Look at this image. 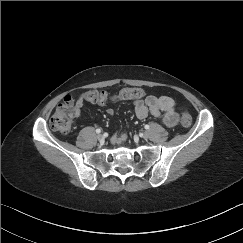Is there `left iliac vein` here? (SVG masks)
I'll return each instance as SVG.
<instances>
[{"mask_svg": "<svg viewBox=\"0 0 243 243\" xmlns=\"http://www.w3.org/2000/svg\"><path fill=\"white\" fill-rule=\"evenodd\" d=\"M148 133L147 132H143L142 133V138H144V139H148Z\"/></svg>", "mask_w": 243, "mask_h": 243, "instance_id": "obj_1", "label": "left iliac vein"}]
</instances>
